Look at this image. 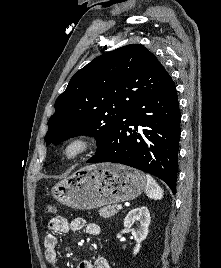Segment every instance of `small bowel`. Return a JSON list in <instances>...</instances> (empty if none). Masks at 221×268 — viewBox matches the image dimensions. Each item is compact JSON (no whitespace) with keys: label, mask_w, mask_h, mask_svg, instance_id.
I'll return each mask as SVG.
<instances>
[{"label":"small bowel","mask_w":221,"mask_h":268,"mask_svg":"<svg viewBox=\"0 0 221 268\" xmlns=\"http://www.w3.org/2000/svg\"><path fill=\"white\" fill-rule=\"evenodd\" d=\"M49 233L44 238V255L51 268H61L58 259V237L57 234H66L85 230L88 234L97 236L100 234V227L95 223H87L84 218L77 217L68 220L64 217H53L48 222ZM77 268H111L106 258L99 256L94 263L82 261Z\"/></svg>","instance_id":"obj_1"}]
</instances>
